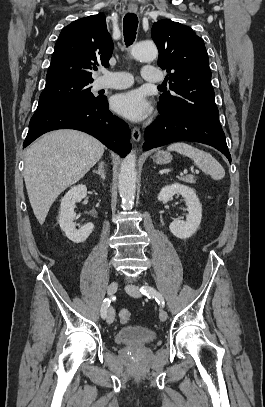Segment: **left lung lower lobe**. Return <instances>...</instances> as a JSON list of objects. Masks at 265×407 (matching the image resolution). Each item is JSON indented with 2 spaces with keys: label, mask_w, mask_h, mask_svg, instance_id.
<instances>
[{
  "label": "left lung lower lobe",
  "mask_w": 265,
  "mask_h": 407,
  "mask_svg": "<svg viewBox=\"0 0 265 407\" xmlns=\"http://www.w3.org/2000/svg\"><path fill=\"white\" fill-rule=\"evenodd\" d=\"M144 137L145 151L176 141H193L213 146L231 161L222 127L197 117L160 114L151 126L146 128Z\"/></svg>",
  "instance_id": "left-lung-lower-lobe-1"
}]
</instances>
